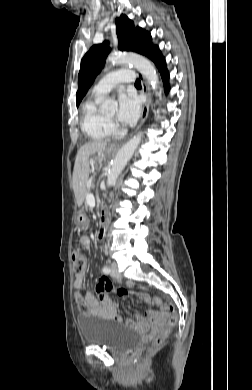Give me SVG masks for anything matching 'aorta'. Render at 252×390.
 Returning a JSON list of instances; mask_svg holds the SVG:
<instances>
[{
    "label": "aorta",
    "mask_w": 252,
    "mask_h": 390,
    "mask_svg": "<svg viewBox=\"0 0 252 390\" xmlns=\"http://www.w3.org/2000/svg\"><path fill=\"white\" fill-rule=\"evenodd\" d=\"M110 63L130 64L139 70L147 79L153 90L158 87V75L154 66L146 58L134 53L112 54L107 59ZM117 103L111 99H105L101 104L102 110L115 108ZM142 139V132L131 138L118 152L111 169L107 175V186H113L127 162L133 156Z\"/></svg>",
    "instance_id": "1"
}]
</instances>
